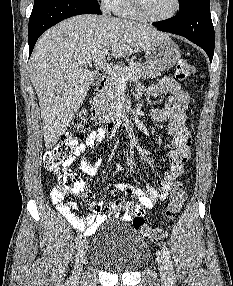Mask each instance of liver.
<instances>
[{
  "label": "liver",
  "instance_id": "liver-1",
  "mask_svg": "<svg viewBox=\"0 0 233 286\" xmlns=\"http://www.w3.org/2000/svg\"><path fill=\"white\" fill-rule=\"evenodd\" d=\"M166 33L121 18L84 14L66 19L37 41L29 74L39 99L45 147L52 148L82 105L94 80L87 69L105 47L116 58L147 50Z\"/></svg>",
  "mask_w": 233,
  "mask_h": 286
}]
</instances>
